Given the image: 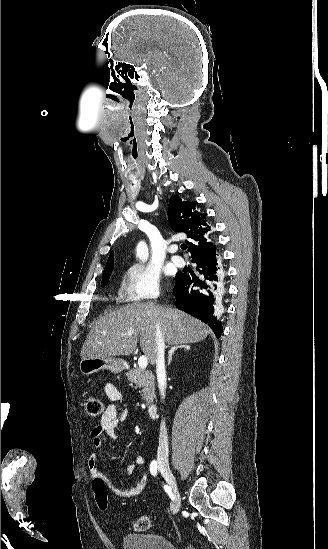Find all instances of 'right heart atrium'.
Listing matches in <instances>:
<instances>
[{
    "mask_svg": "<svg viewBox=\"0 0 328 549\" xmlns=\"http://www.w3.org/2000/svg\"><path fill=\"white\" fill-rule=\"evenodd\" d=\"M121 289L128 303H154L160 294V276L153 266L134 262L122 272Z\"/></svg>",
    "mask_w": 328,
    "mask_h": 549,
    "instance_id": "right-heart-atrium-1",
    "label": "right heart atrium"
}]
</instances>
